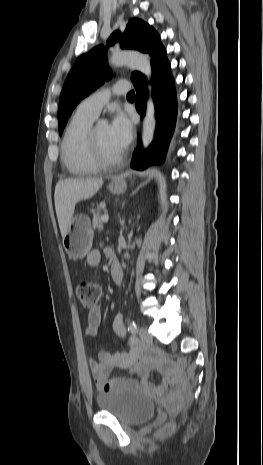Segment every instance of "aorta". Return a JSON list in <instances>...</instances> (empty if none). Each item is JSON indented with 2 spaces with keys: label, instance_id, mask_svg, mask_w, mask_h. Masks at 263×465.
Masks as SVG:
<instances>
[{
  "label": "aorta",
  "instance_id": "762f6f07",
  "mask_svg": "<svg viewBox=\"0 0 263 465\" xmlns=\"http://www.w3.org/2000/svg\"><path fill=\"white\" fill-rule=\"evenodd\" d=\"M110 64L116 67L128 66L132 69L138 70L143 73L148 82H150L152 75V68L150 59L147 55L141 54L137 51H118L113 52L110 58ZM149 97L146 105V114L143 120L142 142L143 147L147 148L153 140L156 118H155V104L151 96L152 86L148 84Z\"/></svg>",
  "mask_w": 263,
  "mask_h": 465
}]
</instances>
